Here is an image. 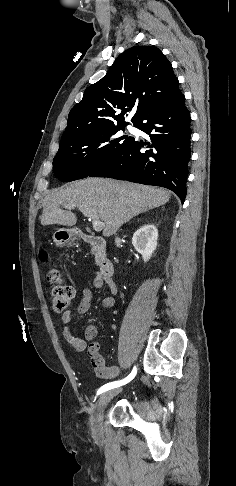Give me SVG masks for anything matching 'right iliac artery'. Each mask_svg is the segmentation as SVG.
Here are the masks:
<instances>
[{"mask_svg":"<svg viewBox=\"0 0 236 486\" xmlns=\"http://www.w3.org/2000/svg\"><path fill=\"white\" fill-rule=\"evenodd\" d=\"M137 373V369L136 367L133 368L132 372L130 373L129 376H127L125 379L123 380H120V381H114V382H110V383H107L105 384L104 386H102L98 392H97V395L107 391V390H110V389H113V388H116V387H119V386H122L124 384H127L128 382H130L136 375Z\"/></svg>","mask_w":236,"mask_h":486,"instance_id":"82829eb1","label":"right iliac artery"}]
</instances>
